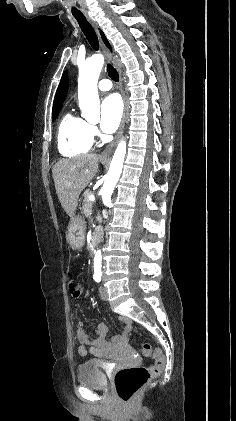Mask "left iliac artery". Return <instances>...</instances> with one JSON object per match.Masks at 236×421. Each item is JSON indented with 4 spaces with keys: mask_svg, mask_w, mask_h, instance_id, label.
<instances>
[{
    "mask_svg": "<svg viewBox=\"0 0 236 421\" xmlns=\"http://www.w3.org/2000/svg\"><path fill=\"white\" fill-rule=\"evenodd\" d=\"M101 275H102V273H94V275H93V279L96 281V282H100L101 281Z\"/></svg>",
    "mask_w": 236,
    "mask_h": 421,
    "instance_id": "obj_1",
    "label": "left iliac artery"
}]
</instances>
